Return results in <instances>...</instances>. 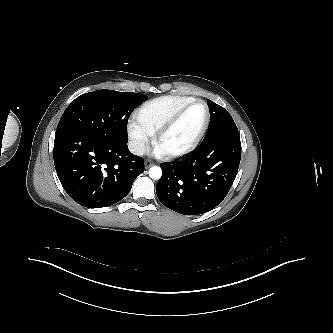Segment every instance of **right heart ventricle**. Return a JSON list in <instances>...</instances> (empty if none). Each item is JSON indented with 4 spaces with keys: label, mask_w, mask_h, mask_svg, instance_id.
I'll use <instances>...</instances> for the list:
<instances>
[{
    "label": "right heart ventricle",
    "mask_w": 333,
    "mask_h": 333,
    "mask_svg": "<svg viewBox=\"0 0 333 333\" xmlns=\"http://www.w3.org/2000/svg\"><path fill=\"white\" fill-rule=\"evenodd\" d=\"M194 98L181 95H166L145 102L136 112V120L154 135L157 130L184 104Z\"/></svg>",
    "instance_id": "e07e8e85"
}]
</instances>
